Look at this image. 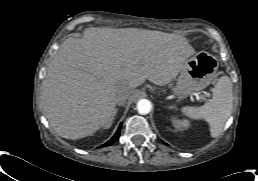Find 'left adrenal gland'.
<instances>
[{"mask_svg": "<svg viewBox=\"0 0 258 181\" xmlns=\"http://www.w3.org/2000/svg\"><path fill=\"white\" fill-rule=\"evenodd\" d=\"M168 108L173 109V108H174V106H169Z\"/></svg>", "mask_w": 258, "mask_h": 181, "instance_id": "left-adrenal-gland-1", "label": "left adrenal gland"}]
</instances>
